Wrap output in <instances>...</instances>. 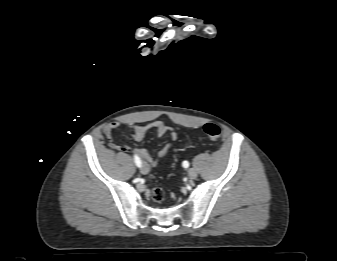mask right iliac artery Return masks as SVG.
Masks as SVG:
<instances>
[{
    "label": "right iliac artery",
    "instance_id": "right-iliac-artery-1",
    "mask_svg": "<svg viewBox=\"0 0 337 261\" xmlns=\"http://www.w3.org/2000/svg\"><path fill=\"white\" fill-rule=\"evenodd\" d=\"M134 161H135V164L138 166V167H141V160L140 158L137 156V155H134Z\"/></svg>",
    "mask_w": 337,
    "mask_h": 261
}]
</instances>
